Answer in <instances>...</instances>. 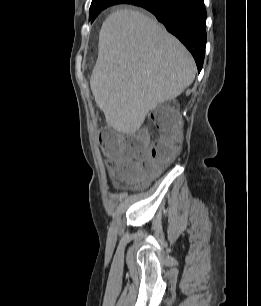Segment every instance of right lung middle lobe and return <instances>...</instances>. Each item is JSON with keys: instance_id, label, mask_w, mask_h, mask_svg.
<instances>
[{"instance_id": "right-lung-middle-lobe-1", "label": "right lung middle lobe", "mask_w": 261, "mask_h": 306, "mask_svg": "<svg viewBox=\"0 0 261 306\" xmlns=\"http://www.w3.org/2000/svg\"><path fill=\"white\" fill-rule=\"evenodd\" d=\"M125 2L126 1H123V0H105V1L91 3L90 9H89V20L95 19L98 16V14L105 8L115 5V4H121Z\"/></svg>"}]
</instances>
